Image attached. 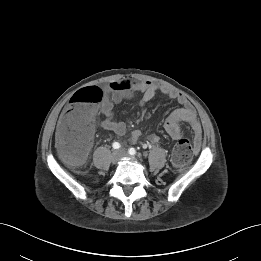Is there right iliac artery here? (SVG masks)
<instances>
[{
    "mask_svg": "<svg viewBox=\"0 0 261 261\" xmlns=\"http://www.w3.org/2000/svg\"><path fill=\"white\" fill-rule=\"evenodd\" d=\"M112 146L114 149H119L121 147L118 142H114Z\"/></svg>",
    "mask_w": 261,
    "mask_h": 261,
    "instance_id": "obj_1",
    "label": "right iliac artery"
}]
</instances>
